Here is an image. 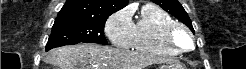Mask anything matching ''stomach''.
Instances as JSON below:
<instances>
[{
	"label": "stomach",
	"instance_id": "1",
	"mask_svg": "<svg viewBox=\"0 0 246 69\" xmlns=\"http://www.w3.org/2000/svg\"><path fill=\"white\" fill-rule=\"evenodd\" d=\"M159 69H186V67L181 64L167 63L162 65Z\"/></svg>",
	"mask_w": 246,
	"mask_h": 69
}]
</instances>
